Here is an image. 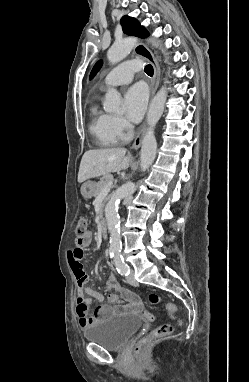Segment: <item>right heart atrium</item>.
I'll return each mask as SVG.
<instances>
[{"label":"right heart atrium","mask_w":249,"mask_h":382,"mask_svg":"<svg viewBox=\"0 0 249 382\" xmlns=\"http://www.w3.org/2000/svg\"><path fill=\"white\" fill-rule=\"evenodd\" d=\"M111 131L118 139H124L131 130L130 124L120 116L111 117Z\"/></svg>","instance_id":"d8ad5b80"}]
</instances>
